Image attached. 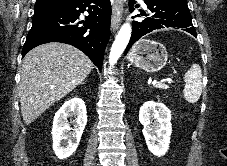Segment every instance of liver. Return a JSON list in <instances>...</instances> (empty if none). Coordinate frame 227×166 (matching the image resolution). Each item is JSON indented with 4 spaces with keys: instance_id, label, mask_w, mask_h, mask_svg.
I'll return each mask as SVG.
<instances>
[{
    "instance_id": "6515ba94",
    "label": "liver",
    "mask_w": 227,
    "mask_h": 166,
    "mask_svg": "<svg viewBox=\"0 0 227 166\" xmlns=\"http://www.w3.org/2000/svg\"><path fill=\"white\" fill-rule=\"evenodd\" d=\"M93 67L83 52L64 43L43 44L27 53L19 85L21 114L25 124L32 123L80 85Z\"/></svg>"
}]
</instances>
